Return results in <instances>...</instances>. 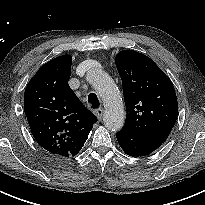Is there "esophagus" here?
Wrapping results in <instances>:
<instances>
[{
  "instance_id": "obj_1",
  "label": "esophagus",
  "mask_w": 205,
  "mask_h": 205,
  "mask_svg": "<svg viewBox=\"0 0 205 205\" xmlns=\"http://www.w3.org/2000/svg\"><path fill=\"white\" fill-rule=\"evenodd\" d=\"M95 114H96L97 118L99 120H101L103 117V114H104V109L103 108L96 109Z\"/></svg>"
}]
</instances>
